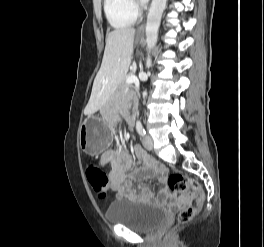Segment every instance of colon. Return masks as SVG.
Returning a JSON list of instances; mask_svg holds the SVG:
<instances>
[{"label":"colon","instance_id":"1","mask_svg":"<svg viewBox=\"0 0 264 247\" xmlns=\"http://www.w3.org/2000/svg\"><path fill=\"white\" fill-rule=\"evenodd\" d=\"M85 172L95 194L100 198L106 197L109 182L106 172L94 164H89ZM167 184L171 191L181 196H186L188 191H192L189 196L177 200L182 205L177 216L178 223H188L205 202V194L200 184L181 173L171 174L167 180ZM193 200H195L196 205L192 204Z\"/></svg>","mask_w":264,"mask_h":247}]
</instances>
